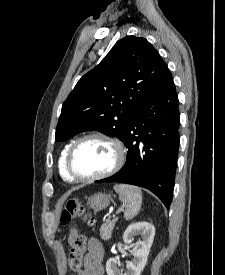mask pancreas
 I'll list each match as a JSON object with an SVG mask.
<instances>
[{"instance_id":"obj_1","label":"pancreas","mask_w":225,"mask_h":275,"mask_svg":"<svg viewBox=\"0 0 225 275\" xmlns=\"http://www.w3.org/2000/svg\"><path fill=\"white\" fill-rule=\"evenodd\" d=\"M117 220H107L100 228V236L103 240H109L111 238L112 231L114 229Z\"/></svg>"}]
</instances>
